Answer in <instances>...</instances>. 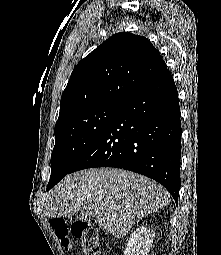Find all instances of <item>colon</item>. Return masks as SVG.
<instances>
[{
	"mask_svg": "<svg viewBox=\"0 0 221 255\" xmlns=\"http://www.w3.org/2000/svg\"><path fill=\"white\" fill-rule=\"evenodd\" d=\"M51 226L63 248H72L71 235L77 237L82 244L84 255H104L100 247V231L96 221L75 217L71 224L62 217H53Z\"/></svg>",
	"mask_w": 221,
	"mask_h": 255,
	"instance_id": "5ec220e1",
	"label": "colon"
}]
</instances>
